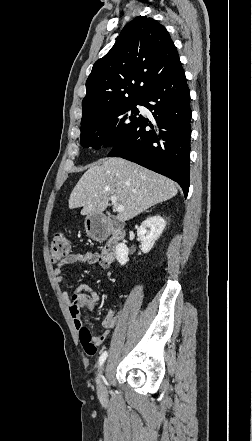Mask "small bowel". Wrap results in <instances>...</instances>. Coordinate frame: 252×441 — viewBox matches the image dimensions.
I'll return each instance as SVG.
<instances>
[{"instance_id": "obj_1", "label": "small bowel", "mask_w": 252, "mask_h": 441, "mask_svg": "<svg viewBox=\"0 0 252 441\" xmlns=\"http://www.w3.org/2000/svg\"><path fill=\"white\" fill-rule=\"evenodd\" d=\"M78 262L87 263L90 266L99 265L103 269H107L110 265V263L106 262L97 252L87 251L83 254L72 252L61 259L54 270L55 280L58 285H62L64 281L62 276L63 266ZM62 297L68 301L69 313L78 331L83 327L81 311L85 309L89 312H93L100 301V294L87 284H79L71 292L63 290ZM120 316L121 310L111 309L108 312L102 323V330L97 336L93 337V341L96 344H100L107 339Z\"/></svg>"}]
</instances>
